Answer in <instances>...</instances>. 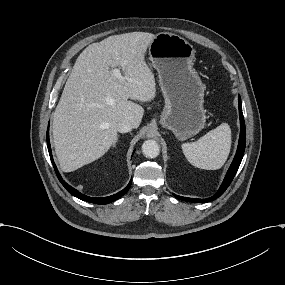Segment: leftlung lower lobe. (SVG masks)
Masks as SVG:
<instances>
[{"label":"left lung lower lobe","mask_w":285,"mask_h":285,"mask_svg":"<svg viewBox=\"0 0 285 285\" xmlns=\"http://www.w3.org/2000/svg\"><path fill=\"white\" fill-rule=\"evenodd\" d=\"M239 116H240V138H239V144H238L237 152H236V155L234 157V160H233L229 170L227 171V174L224 178V181H223L222 185L220 186V188L218 189V191L213 196L206 198V199L187 198V197H182V196H178V195L174 194V196L176 198L183 200V201H187V202L205 203V202L215 200L216 198L220 197L225 192V190L228 188V186L232 182V180H233V178H234V176H235V174L239 168V165L241 163V160L243 158L244 151H245V144H246L245 121H244V117H243V113H242V106H241L240 97H239Z\"/></svg>","instance_id":"left-lung-lower-lobe-1"}]
</instances>
